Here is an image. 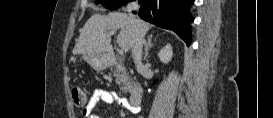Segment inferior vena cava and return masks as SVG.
Instances as JSON below:
<instances>
[{
	"label": "inferior vena cava",
	"mask_w": 273,
	"mask_h": 118,
	"mask_svg": "<svg viewBox=\"0 0 273 118\" xmlns=\"http://www.w3.org/2000/svg\"><path fill=\"white\" fill-rule=\"evenodd\" d=\"M139 8V5L136 1L131 2L130 4H128L127 6V11L130 14V17L132 18V20L135 22L136 26V35H135V40H134V45L132 48V54H133V59L134 62L136 64L137 70L141 71L144 69V65L142 64V47L144 44V36L141 33L139 26H138V22L135 18V16L131 13L133 10H136Z\"/></svg>",
	"instance_id": "inferior-vena-cava-1"
}]
</instances>
